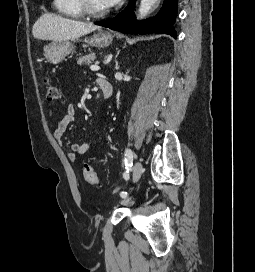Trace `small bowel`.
Segmentation results:
<instances>
[{
	"label": "small bowel",
	"instance_id": "small-bowel-1",
	"mask_svg": "<svg viewBox=\"0 0 255 272\" xmlns=\"http://www.w3.org/2000/svg\"><path fill=\"white\" fill-rule=\"evenodd\" d=\"M76 108L74 105H69L66 110V114L64 117L58 122L56 128L53 131V137L57 140L61 145H64L62 136L69 125H71L76 119ZM99 144V141H91V142H82V143H73L70 145L69 152L67 154L68 159L72 162H75L77 158L87 151L96 147Z\"/></svg>",
	"mask_w": 255,
	"mask_h": 272
}]
</instances>
